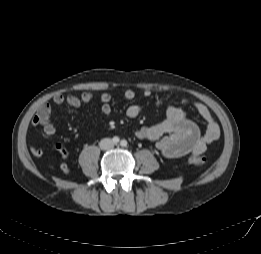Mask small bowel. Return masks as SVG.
I'll return each instance as SVG.
<instances>
[{
  "instance_id": "c3829d8e",
  "label": "small bowel",
  "mask_w": 261,
  "mask_h": 254,
  "mask_svg": "<svg viewBox=\"0 0 261 254\" xmlns=\"http://www.w3.org/2000/svg\"><path fill=\"white\" fill-rule=\"evenodd\" d=\"M124 96L127 100H133L136 93L128 89L125 91ZM150 96V90L146 89L143 91V97L149 98ZM92 100L93 94L84 92L79 96L56 95L52 99V104L80 107ZM99 101L104 117H110L112 112L110 105L111 95L104 92L99 96ZM183 104L192 108L205 121L206 129L204 134H201L197 124L187 117L186 112L173 105H168L166 118L158 124L139 129L136 132L137 138L155 142L157 150L167 158L183 157L188 154H203L207 146L219 138L220 127L210 111L203 104L187 99L183 100ZM51 112V103L43 104L32 119V125L42 127L44 133L49 136L54 135L56 132L55 126L50 121ZM141 112L142 107L140 105L132 104L127 108L126 114L129 118H136ZM30 150L36 157H40L43 154V150L35 145H31ZM56 150L63 160L69 157L68 150L61 144L56 145ZM61 169L64 173L69 172L66 164H62Z\"/></svg>"
}]
</instances>
